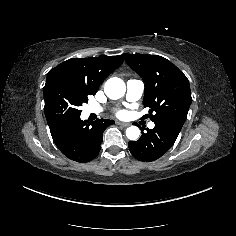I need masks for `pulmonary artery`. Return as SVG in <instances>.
I'll list each match as a JSON object with an SVG mask.
<instances>
[{"label":"pulmonary artery","instance_id":"pulmonary-artery-1","mask_svg":"<svg viewBox=\"0 0 236 236\" xmlns=\"http://www.w3.org/2000/svg\"><path fill=\"white\" fill-rule=\"evenodd\" d=\"M143 94V84L142 82L140 81H135V80H129L127 82V93H126V97L128 100H131V101H136L138 99L141 98ZM91 113H95V114H99L101 113V109L93 106V105H85L84 107V114L85 115H88V114H91ZM155 124L150 121L148 123V127L150 129L154 128Z\"/></svg>","mask_w":236,"mask_h":236}]
</instances>
